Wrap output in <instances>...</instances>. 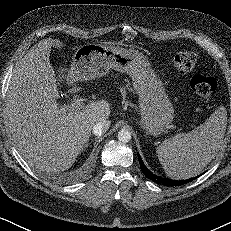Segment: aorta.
Returning <instances> with one entry per match:
<instances>
[{
  "instance_id": "aorta-1",
  "label": "aorta",
  "mask_w": 231,
  "mask_h": 231,
  "mask_svg": "<svg viewBox=\"0 0 231 231\" xmlns=\"http://www.w3.org/2000/svg\"><path fill=\"white\" fill-rule=\"evenodd\" d=\"M118 140L122 143H128L131 140V133L126 129H122L118 132Z\"/></svg>"
}]
</instances>
